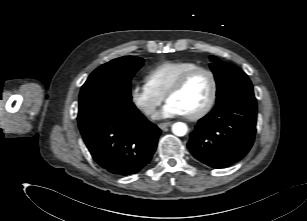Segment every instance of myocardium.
I'll return each instance as SVG.
<instances>
[{
  "label": "myocardium",
  "instance_id": "obj_1",
  "mask_svg": "<svg viewBox=\"0 0 307 221\" xmlns=\"http://www.w3.org/2000/svg\"><path fill=\"white\" fill-rule=\"evenodd\" d=\"M204 72L208 74L211 80V95L207 103L196 113L190 114V115H185V117L189 120H198L203 117H205L214 107L217 96H218V79L216 73L208 68V67H203L199 66L196 68H193L183 75H181L176 82L170 87V89L167 91L165 95V100L168 101V99L172 96L175 95L176 93L180 92L184 86L187 84V82L197 73Z\"/></svg>",
  "mask_w": 307,
  "mask_h": 221
}]
</instances>
